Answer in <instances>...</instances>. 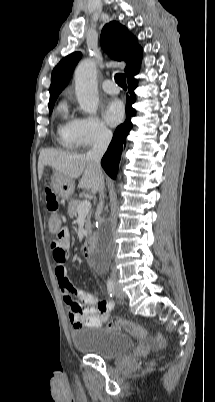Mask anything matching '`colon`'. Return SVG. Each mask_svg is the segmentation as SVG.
<instances>
[{
  "mask_svg": "<svg viewBox=\"0 0 215 402\" xmlns=\"http://www.w3.org/2000/svg\"><path fill=\"white\" fill-rule=\"evenodd\" d=\"M45 200L46 208L48 211V227L51 231L56 232L60 228V219L58 215L59 203L56 195L50 188H47L45 191ZM109 326L110 328L115 330H124L127 333L141 339H144L146 337V331L141 325L135 324L125 319L115 318L110 322ZM157 342L160 346H163L165 344V339L161 334L157 336Z\"/></svg>",
  "mask_w": 215,
  "mask_h": 402,
  "instance_id": "5ec220e1",
  "label": "colon"
}]
</instances>
